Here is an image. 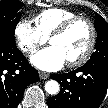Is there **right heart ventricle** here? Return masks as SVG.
Here are the masks:
<instances>
[{"mask_svg": "<svg viewBox=\"0 0 108 108\" xmlns=\"http://www.w3.org/2000/svg\"><path fill=\"white\" fill-rule=\"evenodd\" d=\"M75 16H77V14L69 9L48 8L35 15L33 20L36 29L42 34V36L48 38L64 21Z\"/></svg>", "mask_w": 108, "mask_h": 108, "instance_id": "1", "label": "right heart ventricle"}]
</instances>
